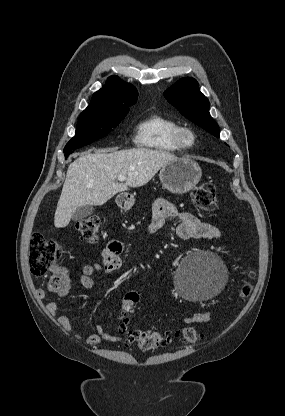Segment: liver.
Wrapping results in <instances>:
<instances>
[{"label": "liver", "mask_w": 285, "mask_h": 416, "mask_svg": "<svg viewBox=\"0 0 285 416\" xmlns=\"http://www.w3.org/2000/svg\"><path fill=\"white\" fill-rule=\"evenodd\" d=\"M84 152L70 164L62 194L57 204L54 226L66 228L74 212L82 206H103L118 192L140 188L177 156L164 150L133 148L111 152L108 150ZM117 176H127L125 184L116 182Z\"/></svg>", "instance_id": "liver-1"}]
</instances>
